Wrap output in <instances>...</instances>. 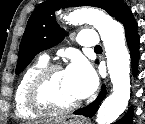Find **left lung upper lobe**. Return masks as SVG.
Segmentation results:
<instances>
[{
  "instance_id": "obj_1",
  "label": "left lung upper lobe",
  "mask_w": 145,
  "mask_h": 124,
  "mask_svg": "<svg viewBox=\"0 0 145 124\" xmlns=\"http://www.w3.org/2000/svg\"><path fill=\"white\" fill-rule=\"evenodd\" d=\"M65 6H94L104 9L116 20L128 6L124 0H46L39 4L31 14L20 47L16 74H20L32 59L42 50L60 43L65 32L55 20V11Z\"/></svg>"
}]
</instances>
